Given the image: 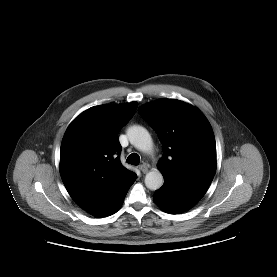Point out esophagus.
<instances>
[{"label":"esophagus","mask_w":277,"mask_h":277,"mask_svg":"<svg viewBox=\"0 0 277 277\" xmlns=\"http://www.w3.org/2000/svg\"><path fill=\"white\" fill-rule=\"evenodd\" d=\"M139 169L141 170L142 173H147L148 172V165L142 164L139 166Z\"/></svg>","instance_id":"34e87169"}]
</instances>
